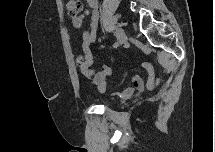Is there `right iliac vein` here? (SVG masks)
<instances>
[{
    "instance_id": "63e3f726",
    "label": "right iliac vein",
    "mask_w": 215,
    "mask_h": 152,
    "mask_svg": "<svg viewBox=\"0 0 215 152\" xmlns=\"http://www.w3.org/2000/svg\"><path fill=\"white\" fill-rule=\"evenodd\" d=\"M116 37L119 45H123L126 42V35L122 30L116 32Z\"/></svg>"
}]
</instances>
